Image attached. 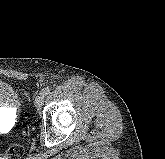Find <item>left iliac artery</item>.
Segmentation results:
<instances>
[{
  "label": "left iliac artery",
  "instance_id": "1",
  "mask_svg": "<svg viewBox=\"0 0 165 159\" xmlns=\"http://www.w3.org/2000/svg\"><path fill=\"white\" fill-rule=\"evenodd\" d=\"M42 92L45 94V95H48V93L50 92V87L47 86L45 88L42 89Z\"/></svg>",
  "mask_w": 165,
  "mask_h": 159
}]
</instances>
